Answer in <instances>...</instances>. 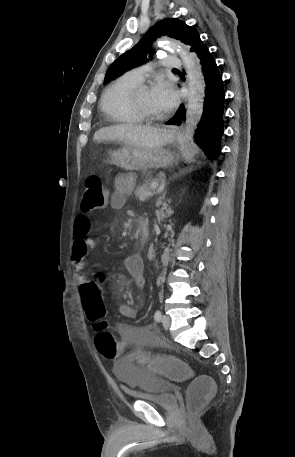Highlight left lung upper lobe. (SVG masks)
<instances>
[{
  "label": "left lung upper lobe",
  "instance_id": "left-lung-upper-lobe-1",
  "mask_svg": "<svg viewBox=\"0 0 295 457\" xmlns=\"http://www.w3.org/2000/svg\"><path fill=\"white\" fill-rule=\"evenodd\" d=\"M163 35L178 39L190 47L200 38L198 31L188 26L184 21L171 18L159 21L146 32L133 48L122 54L110 65L105 80L111 81L146 62L147 57H151L153 54L151 42Z\"/></svg>",
  "mask_w": 295,
  "mask_h": 457
}]
</instances>
